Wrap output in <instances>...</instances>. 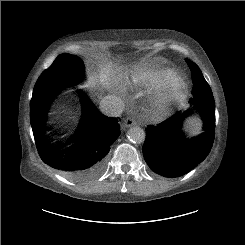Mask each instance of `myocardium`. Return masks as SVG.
Here are the masks:
<instances>
[{"label":"myocardium","instance_id":"1","mask_svg":"<svg viewBox=\"0 0 245 245\" xmlns=\"http://www.w3.org/2000/svg\"><path fill=\"white\" fill-rule=\"evenodd\" d=\"M174 102L175 97L168 94H157L154 99L155 107L161 113L168 112Z\"/></svg>","mask_w":245,"mask_h":245}]
</instances>
